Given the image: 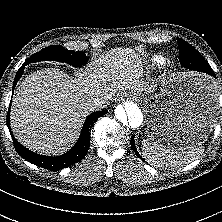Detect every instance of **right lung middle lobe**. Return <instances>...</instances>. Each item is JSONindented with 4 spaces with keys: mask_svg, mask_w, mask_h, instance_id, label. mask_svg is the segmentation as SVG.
<instances>
[{
    "mask_svg": "<svg viewBox=\"0 0 222 222\" xmlns=\"http://www.w3.org/2000/svg\"><path fill=\"white\" fill-rule=\"evenodd\" d=\"M45 60L61 61L79 67L87 62L88 57L82 51H72L63 46L54 45L45 47L40 52L33 54L26 62L33 63Z\"/></svg>",
    "mask_w": 222,
    "mask_h": 222,
    "instance_id": "1",
    "label": "right lung middle lobe"
}]
</instances>
